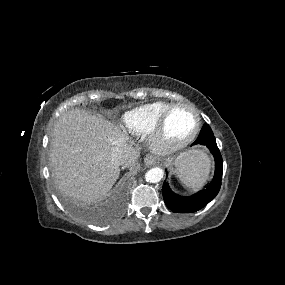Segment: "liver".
<instances>
[{
    "mask_svg": "<svg viewBox=\"0 0 285 285\" xmlns=\"http://www.w3.org/2000/svg\"><path fill=\"white\" fill-rule=\"evenodd\" d=\"M120 153L122 166L132 168L138 150L128 136L108 120L84 110L64 113L54 126L50 164L58 188L87 204L105 198L120 174L112 154Z\"/></svg>",
    "mask_w": 285,
    "mask_h": 285,
    "instance_id": "1",
    "label": "liver"
}]
</instances>
